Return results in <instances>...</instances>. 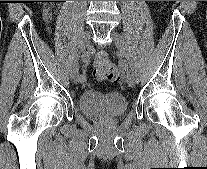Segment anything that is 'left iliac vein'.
<instances>
[{
    "label": "left iliac vein",
    "mask_w": 207,
    "mask_h": 169,
    "mask_svg": "<svg viewBox=\"0 0 207 169\" xmlns=\"http://www.w3.org/2000/svg\"><path fill=\"white\" fill-rule=\"evenodd\" d=\"M111 36H112L113 42L116 45V47L118 48L120 54L122 56L126 57L127 60L129 61V63L131 62L134 64L132 58L130 57L128 47H127V44H126L123 36L115 30L112 31ZM125 80L130 87H134L138 83V77H137V75H134V74H127Z\"/></svg>",
    "instance_id": "left-iliac-vein-1"
}]
</instances>
